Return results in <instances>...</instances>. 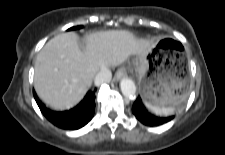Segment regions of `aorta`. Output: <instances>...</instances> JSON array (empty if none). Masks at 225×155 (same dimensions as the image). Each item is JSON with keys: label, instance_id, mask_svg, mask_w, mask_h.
I'll return each mask as SVG.
<instances>
[{"label": "aorta", "instance_id": "obj_1", "mask_svg": "<svg viewBox=\"0 0 225 155\" xmlns=\"http://www.w3.org/2000/svg\"><path fill=\"white\" fill-rule=\"evenodd\" d=\"M120 88H121L122 94L125 97L131 98V97H134L136 94V85L131 79H128V78L122 79L120 82Z\"/></svg>", "mask_w": 225, "mask_h": 155}]
</instances>
